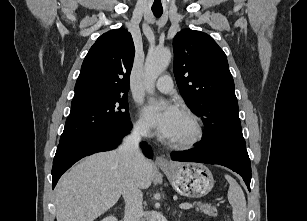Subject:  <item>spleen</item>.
Listing matches in <instances>:
<instances>
[{
	"instance_id": "3e777b00",
	"label": "spleen",
	"mask_w": 307,
	"mask_h": 221,
	"mask_svg": "<svg viewBox=\"0 0 307 221\" xmlns=\"http://www.w3.org/2000/svg\"><path fill=\"white\" fill-rule=\"evenodd\" d=\"M229 183L228 200L233 209L234 221H246L247 208L244 193L234 178L225 175Z\"/></svg>"
}]
</instances>
